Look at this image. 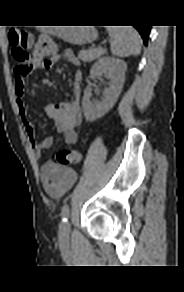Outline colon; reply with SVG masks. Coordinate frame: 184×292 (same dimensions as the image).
Wrapping results in <instances>:
<instances>
[{"label":"colon","mask_w":184,"mask_h":292,"mask_svg":"<svg viewBox=\"0 0 184 292\" xmlns=\"http://www.w3.org/2000/svg\"><path fill=\"white\" fill-rule=\"evenodd\" d=\"M31 36L25 31L11 29L9 33V43L12 56L16 62L15 71L27 73L30 70L28 47L31 44ZM55 51V44L48 36H41L35 44V56L43 59L51 56ZM82 158L79 150L61 149L56 154V159L60 165H71L77 163Z\"/></svg>","instance_id":"obj_1"}]
</instances>
